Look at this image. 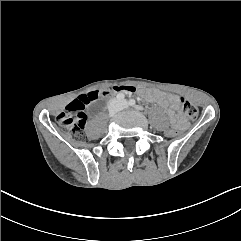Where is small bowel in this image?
<instances>
[{"instance_id":"1","label":"small bowel","mask_w":241,"mask_h":241,"mask_svg":"<svg viewBox=\"0 0 241 241\" xmlns=\"http://www.w3.org/2000/svg\"><path fill=\"white\" fill-rule=\"evenodd\" d=\"M127 92V91H121ZM144 97L147 100L157 102L161 107L168 110L169 115L175 119L178 126H182L183 123L178 116L180 110V100L178 96L173 94H168L162 91H154V92H144Z\"/></svg>"}]
</instances>
